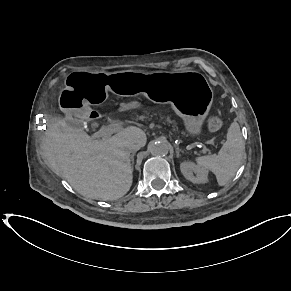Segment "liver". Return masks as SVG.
<instances>
[{"label": "liver", "instance_id": "1", "mask_svg": "<svg viewBox=\"0 0 291 291\" xmlns=\"http://www.w3.org/2000/svg\"><path fill=\"white\" fill-rule=\"evenodd\" d=\"M145 132L130 126L112 137L95 140L83 128L72 127L60 118L48 124L43 144L45 157L81 195L93 199L116 200L133 182L128 142L145 146Z\"/></svg>", "mask_w": 291, "mask_h": 291}]
</instances>
